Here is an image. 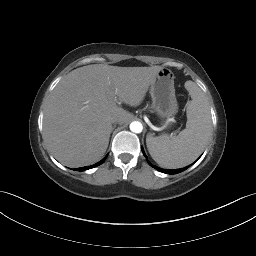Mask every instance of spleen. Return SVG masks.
<instances>
[{"instance_id": "obj_1", "label": "spleen", "mask_w": 256, "mask_h": 256, "mask_svg": "<svg viewBox=\"0 0 256 256\" xmlns=\"http://www.w3.org/2000/svg\"><path fill=\"white\" fill-rule=\"evenodd\" d=\"M191 96L187 102L186 128L177 136H147L146 144L153 160L169 169L192 163L204 150L212 131L210 107L203 91L192 81L185 83Z\"/></svg>"}]
</instances>
